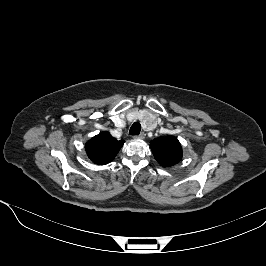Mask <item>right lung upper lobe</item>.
<instances>
[{
    "label": "right lung upper lobe",
    "instance_id": "1",
    "mask_svg": "<svg viewBox=\"0 0 266 266\" xmlns=\"http://www.w3.org/2000/svg\"><path fill=\"white\" fill-rule=\"evenodd\" d=\"M123 140L113 138L108 132H101L86 143L88 157L97 165L111 162L121 147Z\"/></svg>",
    "mask_w": 266,
    "mask_h": 266
}]
</instances>
